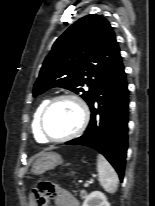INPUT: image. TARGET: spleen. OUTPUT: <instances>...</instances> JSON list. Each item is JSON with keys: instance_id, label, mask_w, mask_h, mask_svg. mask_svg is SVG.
Listing matches in <instances>:
<instances>
[{"instance_id": "3e777b00", "label": "spleen", "mask_w": 155, "mask_h": 206, "mask_svg": "<svg viewBox=\"0 0 155 206\" xmlns=\"http://www.w3.org/2000/svg\"><path fill=\"white\" fill-rule=\"evenodd\" d=\"M97 170L101 187L108 193L116 192L119 183L117 173L102 155L97 157Z\"/></svg>"}]
</instances>
